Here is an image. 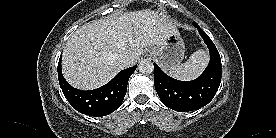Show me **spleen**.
Returning <instances> with one entry per match:
<instances>
[{"instance_id": "3e777b00", "label": "spleen", "mask_w": 276, "mask_h": 138, "mask_svg": "<svg viewBox=\"0 0 276 138\" xmlns=\"http://www.w3.org/2000/svg\"><path fill=\"white\" fill-rule=\"evenodd\" d=\"M208 62V54L205 50L195 51L189 59L169 71V75L184 81L193 80L200 75Z\"/></svg>"}]
</instances>
